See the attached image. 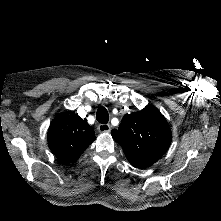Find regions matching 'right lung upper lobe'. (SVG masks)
Here are the masks:
<instances>
[{"mask_svg":"<svg viewBox=\"0 0 221 221\" xmlns=\"http://www.w3.org/2000/svg\"><path fill=\"white\" fill-rule=\"evenodd\" d=\"M96 139L93 127L77 114H59L48 131V146L63 164L74 163Z\"/></svg>","mask_w":221,"mask_h":221,"instance_id":"1","label":"right lung upper lobe"}]
</instances>
